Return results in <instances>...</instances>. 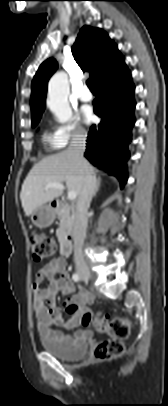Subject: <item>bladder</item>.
<instances>
[{
    "label": "bladder",
    "instance_id": "bladder-1",
    "mask_svg": "<svg viewBox=\"0 0 168 406\" xmlns=\"http://www.w3.org/2000/svg\"><path fill=\"white\" fill-rule=\"evenodd\" d=\"M40 341L45 352L62 360H78L83 358L87 353V344L85 342L65 346L54 343L43 336H41Z\"/></svg>",
    "mask_w": 168,
    "mask_h": 406
}]
</instances>
